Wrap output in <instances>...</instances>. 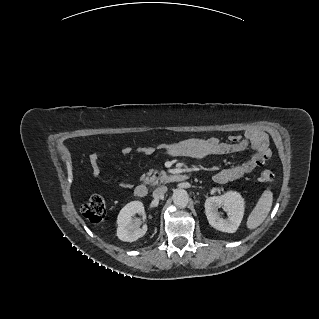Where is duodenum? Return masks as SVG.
<instances>
[{
    "label": "duodenum",
    "mask_w": 319,
    "mask_h": 319,
    "mask_svg": "<svg viewBox=\"0 0 319 319\" xmlns=\"http://www.w3.org/2000/svg\"><path fill=\"white\" fill-rule=\"evenodd\" d=\"M187 178L184 173H169L164 176L166 182H180ZM149 188L146 183H140L135 187L134 194L138 198H145L148 195Z\"/></svg>",
    "instance_id": "obj_1"
}]
</instances>
